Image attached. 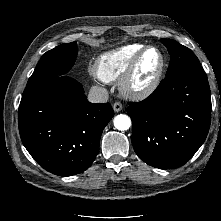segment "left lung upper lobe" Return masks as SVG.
<instances>
[{"mask_svg":"<svg viewBox=\"0 0 221 221\" xmlns=\"http://www.w3.org/2000/svg\"><path fill=\"white\" fill-rule=\"evenodd\" d=\"M161 42L167 47L170 54V64L166 76L171 75L186 65L200 64L198 58L189 48L170 39H161Z\"/></svg>","mask_w":221,"mask_h":221,"instance_id":"obj_1","label":"left lung upper lobe"}]
</instances>
